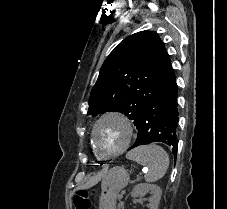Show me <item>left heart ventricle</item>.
<instances>
[{
	"label": "left heart ventricle",
	"mask_w": 227,
	"mask_h": 209,
	"mask_svg": "<svg viewBox=\"0 0 227 209\" xmlns=\"http://www.w3.org/2000/svg\"><path fill=\"white\" fill-rule=\"evenodd\" d=\"M128 137L126 125L117 118L103 119L96 127L95 140L99 151L107 154L120 149Z\"/></svg>",
	"instance_id": "b2bd125f"
}]
</instances>
